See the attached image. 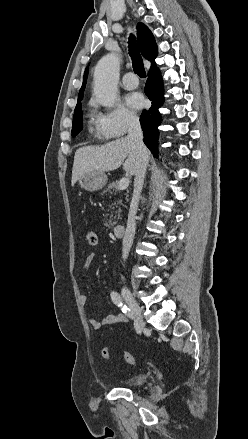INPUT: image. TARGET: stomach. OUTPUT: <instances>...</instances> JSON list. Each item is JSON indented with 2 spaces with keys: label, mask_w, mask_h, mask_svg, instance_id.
<instances>
[{
  "label": "stomach",
  "mask_w": 248,
  "mask_h": 439,
  "mask_svg": "<svg viewBox=\"0 0 248 439\" xmlns=\"http://www.w3.org/2000/svg\"><path fill=\"white\" fill-rule=\"evenodd\" d=\"M107 183V176L101 171H92L79 178L81 188L87 191L102 189Z\"/></svg>",
  "instance_id": "obj_1"
}]
</instances>
